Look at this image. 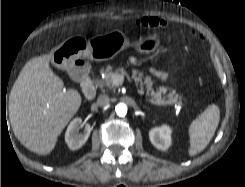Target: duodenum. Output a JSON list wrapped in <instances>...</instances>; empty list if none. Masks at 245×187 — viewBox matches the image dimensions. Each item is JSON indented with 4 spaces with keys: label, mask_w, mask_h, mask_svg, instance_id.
<instances>
[{
    "label": "duodenum",
    "mask_w": 245,
    "mask_h": 187,
    "mask_svg": "<svg viewBox=\"0 0 245 187\" xmlns=\"http://www.w3.org/2000/svg\"><path fill=\"white\" fill-rule=\"evenodd\" d=\"M73 69L76 70L79 74H81L84 78L85 97L89 100L93 99V97L95 96V88L92 81L88 77V69L86 64L85 63H81L80 65L77 64L73 67Z\"/></svg>",
    "instance_id": "duodenum-1"
}]
</instances>
